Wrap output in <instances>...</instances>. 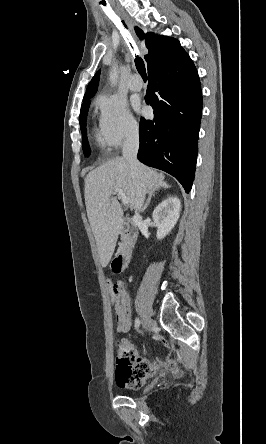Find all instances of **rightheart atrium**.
<instances>
[{
  "instance_id": "obj_1",
  "label": "right heart atrium",
  "mask_w": 266,
  "mask_h": 444,
  "mask_svg": "<svg viewBox=\"0 0 266 444\" xmlns=\"http://www.w3.org/2000/svg\"><path fill=\"white\" fill-rule=\"evenodd\" d=\"M96 103L100 110V133L109 147L118 149L137 136L138 123L123 100L105 94L99 96Z\"/></svg>"
}]
</instances>
